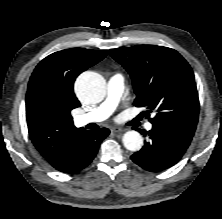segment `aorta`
Masks as SVG:
<instances>
[{"label":"aorta","mask_w":222,"mask_h":219,"mask_svg":"<svg viewBox=\"0 0 222 219\" xmlns=\"http://www.w3.org/2000/svg\"><path fill=\"white\" fill-rule=\"evenodd\" d=\"M76 92L85 103H98L105 96V81L95 72L82 73L76 81ZM123 145L130 151H138L143 145V138L139 132L131 130L122 138Z\"/></svg>","instance_id":"1"}]
</instances>
